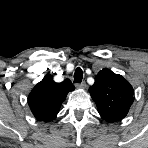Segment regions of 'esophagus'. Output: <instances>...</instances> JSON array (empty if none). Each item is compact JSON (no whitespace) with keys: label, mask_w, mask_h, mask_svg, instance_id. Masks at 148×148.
Returning a JSON list of instances; mask_svg holds the SVG:
<instances>
[{"label":"esophagus","mask_w":148,"mask_h":148,"mask_svg":"<svg viewBox=\"0 0 148 148\" xmlns=\"http://www.w3.org/2000/svg\"><path fill=\"white\" fill-rule=\"evenodd\" d=\"M76 86H77L78 88L85 89L87 85H86L85 82H82V83L76 84Z\"/></svg>","instance_id":"1"}]
</instances>
